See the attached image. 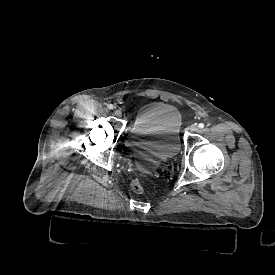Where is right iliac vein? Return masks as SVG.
<instances>
[{"label":"right iliac vein","mask_w":275,"mask_h":275,"mask_svg":"<svg viewBox=\"0 0 275 275\" xmlns=\"http://www.w3.org/2000/svg\"><path fill=\"white\" fill-rule=\"evenodd\" d=\"M114 114H115L117 117H121V115H122V113H121V111H120L119 109H116V110L114 111Z\"/></svg>","instance_id":"1"}]
</instances>
